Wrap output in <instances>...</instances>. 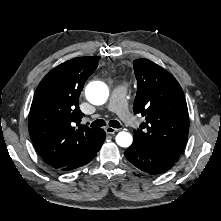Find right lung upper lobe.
I'll list each match as a JSON object with an SVG mask.
<instances>
[{
  "label": "right lung upper lobe",
  "mask_w": 221,
  "mask_h": 221,
  "mask_svg": "<svg viewBox=\"0 0 221 221\" xmlns=\"http://www.w3.org/2000/svg\"><path fill=\"white\" fill-rule=\"evenodd\" d=\"M100 58L68 60L52 69L36 89L28 120L29 134L39 155L55 169L90 154L97 145L101 129L80 125L84 114L78 102Z\"/></svg>",
  "instance_id": "right-lung-upper-lobe-1"
}]
</instances>
